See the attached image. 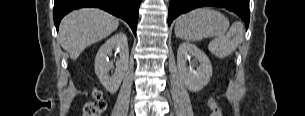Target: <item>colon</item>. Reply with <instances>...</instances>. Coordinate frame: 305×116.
Here are the masks:
<instances>
[{
	"label": "colon",
	"mask_w": 305,
	"mask_h": 116,
	"mask_svg": "<svg viewBox=\"0 0 305 116\" xmlns=\"http://www.w3.org/2000/svg\"><path fill=\"white\" fill-rule=\"evenodd\" d=\"M92 100L85 104L83 108V116H101L107 108L106 101L100 90L93 91ZM211 116H221V110L214 100L209 103Z\"/></svg>",
	"instance_id": "colon-1"
}]
</instances>
